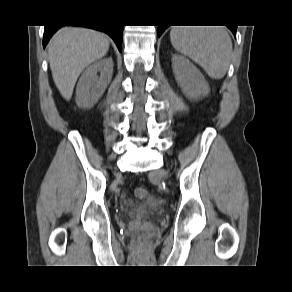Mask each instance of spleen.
Returning <instances> with one entry per match:
<instances>
[{"label":"spleen","mask_w":292,"mask_h":292,"mask_svg":"<svg viewBox=\"0 0 292 292\" xmlns=\"http://www.w3.org/2000/svg\"><path fill=\"white\" fill-rule=\"evenodd\" d=\"M170 40L176 51L187 56L212 79H222L230 64L232 41L222 27L174 26Z\"/></svg>","instance_id":"1"}]
</instances>
